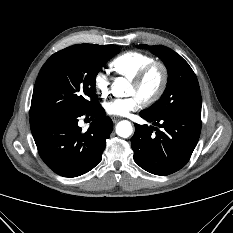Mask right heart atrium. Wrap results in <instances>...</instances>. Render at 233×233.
I'll list each match as a JSON object with an SVG mask.
<instances>
[{"instance_id":"obj_1","label":"right heart atrium","mask_w":233,"mask_h":233,"mask_svg":"<svg viewBox=\"0 0 233 233\" xmlns=\"http://www.w3.org/2000/svg\"><path fill=\"white\" fill-rule=\"evenodd\" d=\"M93 85L96 93L101 98H106L110 92V78L106 71H98L93 79Z\"/></svg>"}]
</instances>
